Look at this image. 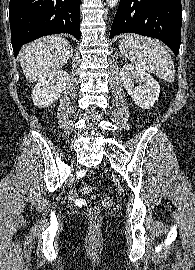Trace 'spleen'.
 <instances>
[{"label":"spleen","instance_id":"1","mask_svg":"<svg viewBox=\"0 0 195 270\" xmlns=\"http://www.w3.org/2000/svg\"><path fill=\"white\" fill-rule=\"evenodd\" d=\"M119 49L139 68L156 74L166 82L174 81L175 69L171 55L159 41L128 34L120 41Z\"/></svg>","mask_w":195,"mask_h":270}]
</instances>
